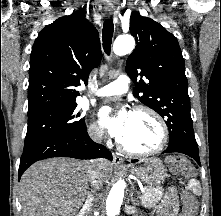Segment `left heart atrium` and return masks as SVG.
<instances>
[{"label":"left heart atrium","instance_id":"obj_1","mask_svg":"<svg viewBox=\"0 0 221 216\" xmlns=\"http://www.w3.org/2000/svg\"><path fill=\"white\" fill-rule=\"evenodd\" d=\"M131 114L124 107L103 106L98 111V120L112 137L121 140L127 130Z\"/></svg>","mask_w":221,"mask_h":216}]
</instances>
